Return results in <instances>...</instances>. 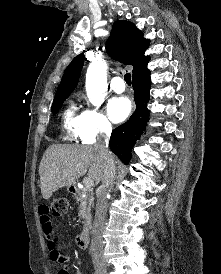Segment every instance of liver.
I'll list each match as a JSON object with an SVG mask.
<instances>
[{
	"label": "liver",
	"instance_id": "liver-1",
	"mask_svg": "<svg viewBox=\"0 0 221 274\" xmlns=\"http://www.w3.org/2000/svg\"><path fill=\"white\" fill-rule=\"evenodd\" d=\"M88 171V178L98 184L104 175L105 161L96 146H49L40 162L41 193L45 200L52 194L76 183Z\"/></svg>",
	"mask_w": 221,
	"mask_h": 274
}]
</instances>
